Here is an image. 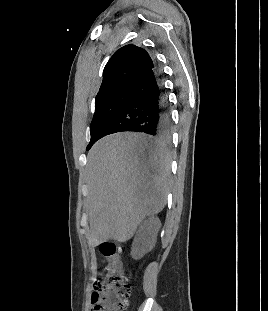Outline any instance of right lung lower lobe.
<instances>
[{"mask_svg":"<svg viewBox=\"0 0 268 311\" xmlns=\"http://www.w3.org/2000/svg\"><path fill=\"white\" fill-rule=\"evenodd\" d=\"M171 129L168 100L161 73L156 63L137 82L128 103L107 126L102 137L123 131L149 134L157 139H168Z\"/></svg>","mask_w":268,"mask_h":311,"instance_id":"right-lung-lower-lobe-1","label":"right lung lower lobe"}]
</instances>
